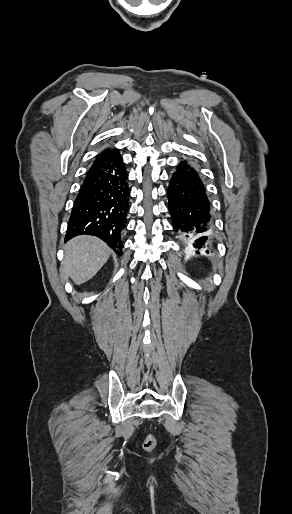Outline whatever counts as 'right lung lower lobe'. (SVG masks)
<instances>
[{
	"mask_svg": "<svg viewBox=\"0 0 292 514\" xmlns=\"http://www.w3.org/2000/svg\"><path fill=\"white\" fill-rule=\"evenodd\" d=\"M128 201V174L120 154L94 161L74 201L65 240L94 235L121 255Z\"/></svg>",
	"mask_w": 292,
	"mask_h": 514,
	"instance_id": "right-lung-lower-lobe-1",
	"label": "right lung lower lobe"
}]
</instances>
